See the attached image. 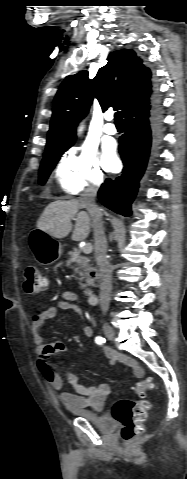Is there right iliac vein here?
<instances>
[{
	"label": "right iliac vein",
	"instance_id": "obj_1",
	"mask_svg": "<svg viewBox=\"0 0 187 479\" xmlns=\"http://www.w3.org/2000/svg\"><path fill=\"white\" fill-rule=\"evenodd\" d=\"M103 332L109 340H113L115 338V331L110 325L104 324Z\"/></svg>",
	"mask_w": 187,
	"mask_h": 479
}]
</instances>
